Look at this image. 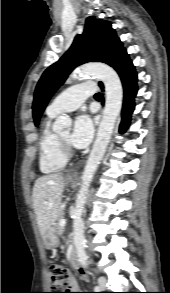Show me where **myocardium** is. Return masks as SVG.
<instances>
[{
    "label": "myocardium",
    "instance_id": "f54148a6",
    "mask_svg": "<svg viewBox=\"0 0 170 293\" xmlns=\"http://www.w3.org/2000/svg\"><path fill=\"white\" fill-rule=\"evenodd\" d=\"M57 136V142H58V148L60 152L65 155L67 158L71 156V149L69 147V144L67 141L63 140L58 134Z\"/></svg>",
    "mask_w": 170,
    "mask_h": 293
}]
</instances>
